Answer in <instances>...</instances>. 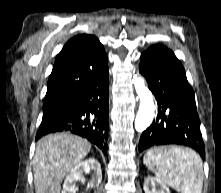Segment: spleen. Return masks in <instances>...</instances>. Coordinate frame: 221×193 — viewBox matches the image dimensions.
Masks as SVG:
<instances>
[{"mask_svg":"<svg viewBox=\"0 0 221 193\" xmlns=\"http://www.w3.org/2000/svg\"><path fill=\"white\" fill-rule=\"evenodd\" d=\"M143 162L177 192L202 193L203 163L195 151L178 146H152Z\"/></svg>","mask_w":221,"mask_h":193,"instance_id":"obj_1","label":"spleen"}]
</instances>
